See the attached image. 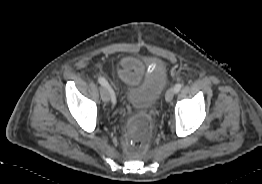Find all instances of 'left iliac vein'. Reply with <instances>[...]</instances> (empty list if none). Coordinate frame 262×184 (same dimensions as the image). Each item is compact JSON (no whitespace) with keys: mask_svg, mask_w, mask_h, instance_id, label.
Returning a JSON list of instances; mask_svg holds the SVG:
<instances>
[{"mask_svg":"<svg viewBox=\"0 0 262 184\" xmlns=\"http://www.w3.org/2000/svg\"><path fill=\"white\" fill-rule=\"evenodd\" d=\"M175 91L174 88H169L165 94V100L166 102H170L174 97Z\"/></svg>","mask_w":262,"mask_h":184,"instance_id":"left-iliac-vein-1","label":"left iliac vein"}]
</instances>
